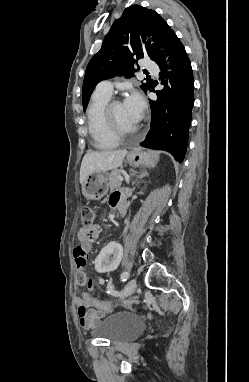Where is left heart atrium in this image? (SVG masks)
Segmentation results:
<instances>
[{"instance_id":"left-heart-atrium-1","label":"left heart atrium","mask_w":249,"mask_h":382,"mask_svg":"<svg viewBox=\"0 0 249 382\" xmlns=\"http://www.w3.org/2000/svg\"><path fill=\"white\" fill-rule=\"evenodd\" d=\"M123 107L130 117L138 123L143 116L145 102L140 93L131 91L124 100Z\"/></svg>"}]
</instances>
